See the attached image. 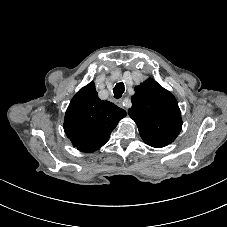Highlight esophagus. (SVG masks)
Listing matches in <instances>:
<instances>
[{
    "label": "esophagus",
    "mask_w": 227,
    "mask_h": 227,
    "mask_svg": "<svg viewBox=\"0 0 227 227\" xmlns=\"http://www.w3.org/2000/svg\"><path fill=\"white\" fill-rule=\"evenodd\" d=\"M116 105H118L119 107L123 108V100L122 99H118L115 101Z\"/></svg>",
    "instance_id": "esophagus-1"
}]
</instances>
